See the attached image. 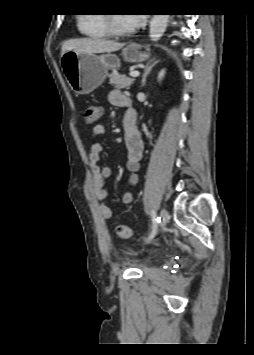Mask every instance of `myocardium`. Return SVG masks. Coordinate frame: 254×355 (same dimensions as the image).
<instances>
[{"mask_svg": "<svg viewBox=\"0 0 254 355\" xmlns=\"http://www.w3.org/2000/svg\"><path fill=\"white\" fill-rule=\"evenodd\" d=\"M105 25L109 35L114 37H124L134 33V29H119L115 24L114 14H105Z\"/></svg>", "mask_w": 254, "mask_h": 355, "instance_id": "1", "label": "myocardium"}]
</instances>
